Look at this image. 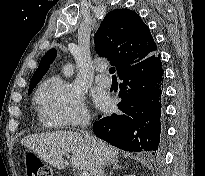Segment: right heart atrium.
Here are the masks:
<instances>
[{
    "instance_id": "obj_1",
    "label": "right heart atrium",
    "mask_w": 205,
    "mask_h": 176,
    "mask_svg": "<svg viewBox=\"0 0 205 176\" xmlns=\"http://www.w3.org/2000/svg\"><path fill=\"white\" fill-rule=\"evenodd\" d=\"M35 99L38 112L50 128L79 126L88 120L83 93L59 77L42 83Z\"/></svg>"
}]
</instances>
